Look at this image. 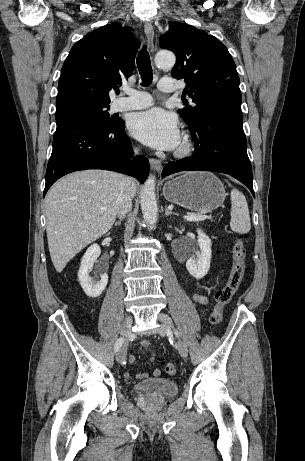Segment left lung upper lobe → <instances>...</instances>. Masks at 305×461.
<instances>
[{
  "instance_id": "obj_1",
  "label": "left lung upper lobe",
  "mask_w": 305,
  "mask_h": 461,
  "mask_svg": "<svg viewBox=\"0 0 305 461\" xmlns=\"http://www.w3.org/2000/svg\"><path fill=\"white\" fill-rule=\"evenodd\" d=\"M160 47L177 59L172 76L187 84L185 94L195 106L178 110L191 126L207 111L241 106L236 65L227 48L214 36L187 24L172 23L160 37Z\"/></svg>"
}]
</instances>
